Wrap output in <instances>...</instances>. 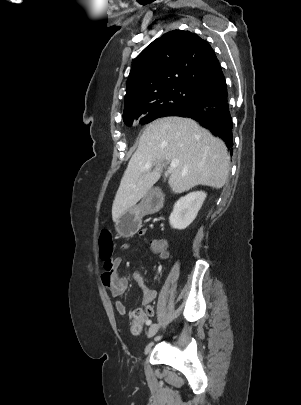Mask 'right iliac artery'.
<instances>
[{
  "instance_id": "82829eb1",
  "label": "right iliac artery",
  "mask_w": 301,
  "mask_h": 405,
  "mask_svg": "<svg viewBox=\"0 0 301 405\" xmlns=\"http://www.w3.org/2000/svg\"><path fill=\"white\" fill-rule=\"evenodd\" d=\"M146 324H147V325H150V324H151V320L147 321Z\"/></svg>"
}]
</instances>
